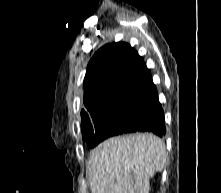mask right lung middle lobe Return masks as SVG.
I'll use <instances>...</instances> for the list:
<instances>
[{
	"instance_id": "dd1d6c3e",
	"label": "right lung middle lobe",
	"mask_w": 221,
	"mask_h": 193,
	"mask_svg": "<svg viewBox=\"0 0 221 193\" xmlns=\"http://www.w3.org/2000/svg\"><path fill=\"white\" fill-rule=\"evenodd\" d=\"M151 109V102L146 100L124 99L108 104L82 119L83 140L89 147H95L103 140L131 128Z\"/></svg>"
}]
</instances>
